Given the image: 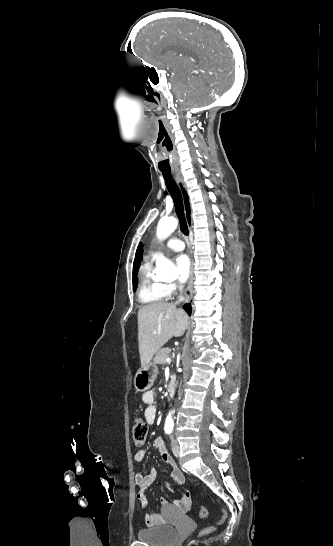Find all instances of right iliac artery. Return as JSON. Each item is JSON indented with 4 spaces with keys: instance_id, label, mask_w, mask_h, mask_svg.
Listing matches in <instances>:
<instances>
[{
    "instance_id": "1",
    "label": "right iliac artery",
    "mask_w": 333,
    "mask_h": 546,
    "mask_svg": "<svg viewBox=\"0 0 333 546\" xmlns=\"http://www.w3.org/2000/svg\"><path fill=\"white\" fill-rule=\"evenodd\" d=\"M170 432H171V430H166V433H170Z\"/></svg>"
}]
</instances>
